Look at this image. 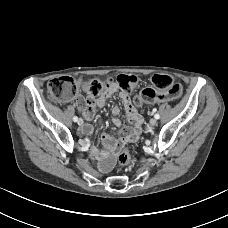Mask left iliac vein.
Wrapping results in <instances>:
<instances>
[{"instance_id":"left-iliac-vein-1","label":"left iliac vein","mask_w":228,"mask_h":228,"mask_svg":"<svg viewBox=\"0 0 228 228\" xmlns=\"http://www.w3.org/2000/svg\"><path fill=\"white\" fill-rule=\"evenodd\" d=\"M149 124H150L151 126H155V125L157 124V120H156L155 118H152V119H150Z\"/></svg>"}]
</instances>
